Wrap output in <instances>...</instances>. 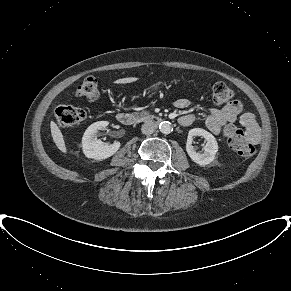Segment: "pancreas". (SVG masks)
I'll list each match as a JSON object with an SVG mask.
<instances>
[{
	"instance_id": "1",
	"label": "pancreas",
	"mask_w": 291,
	"mask_h": 291,
	"mask_svg": "<svg viewBox=\"0 0 291 291\" xmlns=\"http://www.w3.org/2000/svg\"><path fill=\"white\" fill-rule=\"evenodd\" d=\"M135 117H136V120L138 122H141V121H145L146 119H148L149 117H151L150 113L147 112V111H142L140 113H134Z\"/></svg>"
}]
</instances>
